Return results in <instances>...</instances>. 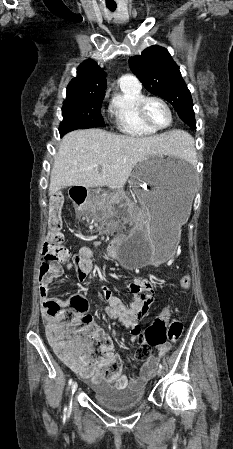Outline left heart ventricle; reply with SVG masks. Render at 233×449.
I'll use <instances>...</instances> for the list:
<instances>
[{"mask_svg": "<svg viewBox=\"0 0 233 449\" xmlns=\"http://www.w3.org/2000/svg\"><path fill=\"white\" fill-rule=\"evenodd\" d=\"M146 116L157 127H163L169 121V114L166 108L158 101H150L147 103Z\"/></svg>", "mask_w": 233, "mask_h": 449, "instance_id": "left-heart-ventricle-1", "label": "left heart ventricle"}]
</instances>
